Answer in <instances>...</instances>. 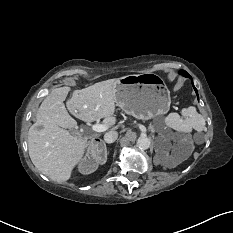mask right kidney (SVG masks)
<instances>
[{
  "label": "right kidney",
  "mask_w": 233,
  "mask_h": 233,
  "mask_svg": "<svg viewBox=\"0 0 233 233\" xmlns=\"http://www.w3.org/2000/svg\"><path fill=\"white\" fill-rule=\"evenodd\" d=\"M107 161V154H102L96 149H91L78 165V170L82 174H91L97 170L99 165L105 164Z\"/></svg>",
  "instance_id": "right-kidney-1"
}]
</instances>
